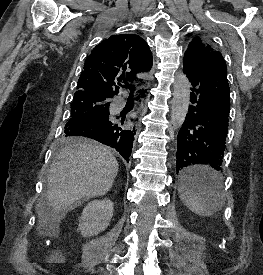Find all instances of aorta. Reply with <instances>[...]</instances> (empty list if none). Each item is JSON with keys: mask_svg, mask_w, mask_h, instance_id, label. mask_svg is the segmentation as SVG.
<instances>
[{"mask_svg": "<svg viewBox=\"0 0 263 275\" xmlns=\"http://www.w3.org/2000/svg\"><path fill=\"white\" fill-rule=\"evenodd\" d=\"M173 99L171 109V126L172 130L179 129L188 112L190 104V82L185 74L176 75L173 84Z\"/></svg>", "mask_w": 263, "mask_h": 275, "instance_id": "762f6f07", "label": "aorta"}]
</instances>
